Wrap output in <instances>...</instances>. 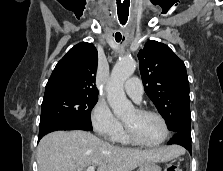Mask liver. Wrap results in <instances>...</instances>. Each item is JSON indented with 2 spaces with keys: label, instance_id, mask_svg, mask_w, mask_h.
Wrapping results in <instances>:
<instances>
[{
  "label": "liver",
  "instance_id": "liver-1",
  "mask_svg": "<svg viewBox=\"0 0 223 171\" xmlns=\"http://www.w3.org/2000/svg\"><path fill=\"white\" fill-rule=\"evenodd\" d=\"M180 149L120 148L86 131H57L44 136L38 144V171H76L89 166H97V171H132L145 162L170 161L184 152Z\"/></svg>",
  "mask_w": 223,
  "mask_h": 171
}]
</instances>
